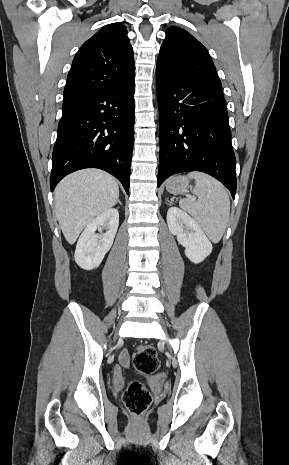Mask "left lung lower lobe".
<instances>
[{
  "instance_id": "1",
  "label": "left lung lower lobe",
  "mask_w": 289,
  "mask_h": 465,
  "mask_svg": "<svg viewBox=\"0 0 289 465\" xmlns=\"http://www.w3.org/2000/svg\"><path fill=\"white\" fill-rule=\"evenodd\" d=\"M160 117L158 186L169 176L205 172L236 193V160L221 88L156 73Z\"/></svg>"
}]
</instances>
